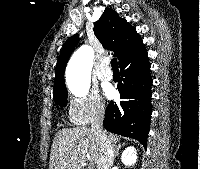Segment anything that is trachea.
I'll list each match as a JSON object with an SVG mask.
<instances>
[{
	"mask_svg": "<svg viewBox=\"0 0 200 169\" xmlns=\"http://www.w3.org/2000/svg\"><path fill=\"white\" fill-rule=\"evenodd\" d=\"M111 67H112L113 71H119V69H118V62H117L116 58H113L111 60Z\"/></svg>",
	"mask_w": 200,
	"mask_h": 169,
	"instance_id": "obj_1",
	"label": "trachea"
}]
</instances>
